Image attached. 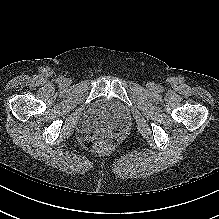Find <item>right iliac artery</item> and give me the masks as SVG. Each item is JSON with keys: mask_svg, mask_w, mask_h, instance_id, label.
Returning <instances> with one entry per match:
<instances>
[{"mask_svg": "<svg viewBox=\"0 0 219 219\" xmlns=\"http://www.w3.org/2000/svg\"><path fill=\"white\" fill-rule=\"evenodd\" d=\"M61 81H62V78H58V79H57V82H61Z\"/></svg>", "mask_w": 219, "mask_h": 219, "instance_id": "1", "label": "right iliac artery"}]
</instances>
